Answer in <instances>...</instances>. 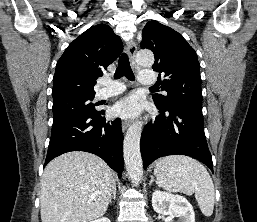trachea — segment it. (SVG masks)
Returning <instances> with one entry per match:
<instances>
[{"mask_svg": "<svg viewBox=\"0 0 257 222\" xmlns=\"http://www.w3.org/2000/svg\"><path fill=\"white\" fill-rule=\"evenodd\" d=\"M123 76H125L130 81L135 80V76H134L133 71L131 69L129 59H128V56H127L126 53H122L120 58H119L118 67H117V70L114 74V78L115 79H120ZM151 88H157V87L153 86Z\"/></svg>", "mask_w": 257, "mask_h": 222, "instance_id": "trachea-1", "label": "trachea"}]
</instances>
